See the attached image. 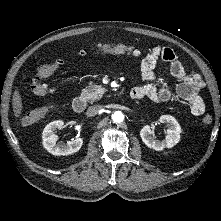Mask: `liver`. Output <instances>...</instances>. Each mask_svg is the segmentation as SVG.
<instances>
[{
	"label": "liver",
	"instance_id": "6515ba94",
	"mask_svg": "<svg viewBox=\"0 0 221 221\" xmlns=\"http://www.w3.org/2000/svg\"><path fill=\"white\" fill-rule=\"evenodd\" d=\"M12 107H13L15 116L19 117V115L22 112V100H21V96L18 90H16L13 94Z\"/></svg>",
	"mask_w": 221,
	"mask_h": 221
}]
</instances>
